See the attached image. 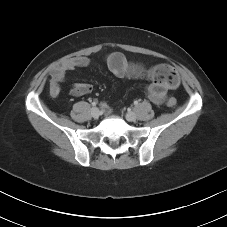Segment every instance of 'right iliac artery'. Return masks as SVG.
Segmentation results:
<instances>
[{"label": "right iliac artery", "instance_id": "obj_1", "mask_svg": "<svg viewBox=\"0 0 227 227\" xmlns=\"http://www.w3.org/2000/svg\"><path fill=\"white\" fill-rule=\"evenodd\" d=\"M96 104H97L96 102H93V103H92L93 106H96Z\"/></svg>", "mask_w": 227, "mask_h": 227}]
</instances>
